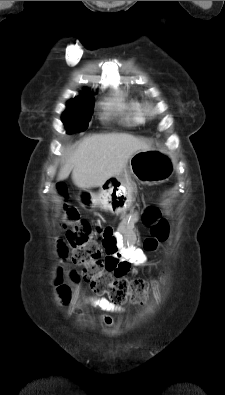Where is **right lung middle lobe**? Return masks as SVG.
Instances as JSON below:
<instances>
[{
  "label": "right lung middle lobe",
  "mask_w": 225,
  "mask_h": 395,
  "mask_svg": "<svg viewBox=\"0 0 225 395\" xmlns=\"http://www.w3.org/2000/svg\"><path fill=\"white\" fill-rule=\"evenodd\" d=\"M93 97H76L67 103L62 121L68 132L84 131L88 127L93 112Z\"/></svg>",
  "instance_id": "right-lung-middle-lobe-1"
}]
</instances>
